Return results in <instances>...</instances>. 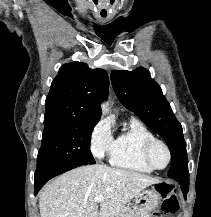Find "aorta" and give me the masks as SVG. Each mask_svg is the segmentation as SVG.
Returning a JSON list of instances; mask_svg holds the SVG:
<instances>
[{"label":"aorta","instance_id":"762f6f07","mask_svg":"<svg viewBox=\"0 0 211 217\" xmlns=\"http://www.w3.org/2000/svg\"><path fill=\"white\" fill-rule=\"evenodd\" d=\"M109 111H110V109H109L108 103L107 102L103 103L102 104V112H103V114H108Z\"/></svg>","mask_w":211,"mask_h":217}]
</instances>
